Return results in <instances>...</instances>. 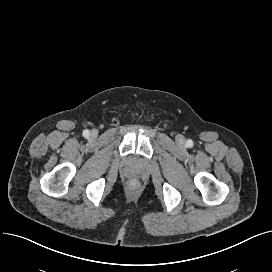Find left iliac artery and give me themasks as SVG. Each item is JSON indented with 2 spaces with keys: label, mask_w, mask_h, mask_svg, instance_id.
<instances>
[{
  "label": "left iliac artery",
  "mask_w": 272,
  "mask_h": 272,
  "mask_svg": "<svg viewBox=\"0 0 272 272\" xmlns=\"http://www.w3.org/2000/svg\"><path fill=\"white\" fill-rule=\"evenodd\" d=\"M187 146H188V147H192V146H193V141L189 139V140L187 141Z\"/></svg>",
  "instance_id": "left-iliac-artery-1"
}]
</instances>
